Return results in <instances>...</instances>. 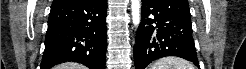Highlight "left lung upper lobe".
Listing matches in <instances>:
<instances>
[{
  "label": "left lung upper lobe",
  "mask_w": 246,
  "mask_h": 69,
  "mask_svg": "<svg viewBox=\"0 0 246 69\" xmlns=\"http://www.w3.org/2000/svg\"><path fill=\"white\" fill-rule=\"evenodd\" d=\"M161 9L183 21L191 22L187 0H153Z\"/></svg>",
  "instance_id": "5c2ea615"
}]
</instances>
